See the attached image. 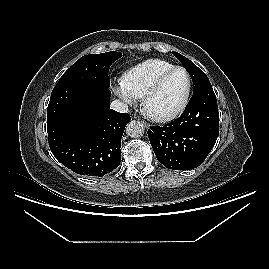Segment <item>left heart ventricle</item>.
I'll use <instances>...</instances> for the list:
<instances>
[{
	"mask_svg": "<svg viewBox=\"0 0 269 269\" xmlns=\"http://www.w3.org/2000/svg\"><path fill=\"white\" fill-rule=\"evenodd\" d=\"M187 89V77L183 71H176L164 82L160 90L150 99L148 110L163 114L175 109L182 101Z\"/></svg>",
	"mask_w": 269,
	"mask_h": 269,
	"instance_id": "b2bd125f",
	"label": "left heart ventricle"
}]
</instances>
